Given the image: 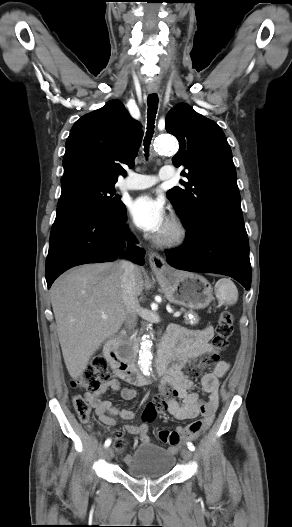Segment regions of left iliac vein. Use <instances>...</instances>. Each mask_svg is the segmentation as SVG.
<instances>
[{
	"mask_svg": "<svg viewBox=\"0 0 292 527\" xmlns=\"http://www.w3.org/2000/svg\"><path fill=\"white\" fill-rule=\"evenodd\" d=\"M181 455L184 460H189L192 457V452L188 448H184L181 452Z\"/></svg>",
	"mask_w": 292,
	"mask_h": 527,
	"instance_id": "left-iliac-vein-1",
	"label": "left iliac vein"
}]
</instances>
